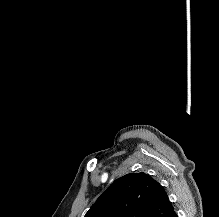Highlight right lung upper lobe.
<instances>
[{
  "label": "right lung upper lobe",
  "mask_w": 219,
  "mask_h": 217,
  "mask_svg": "<svg viewBox=\"0 0 219 217\" xmlns=\"http://www.w3.org/2000/svg\"><path fill=\"white\" fill-rule=\"evenodd\" d=\"M173 210L163 186L139 172L115 180L84 217H167Z\"/></svg>",
  "instance_id": "obj_1"
}]
</instances>
